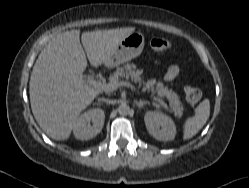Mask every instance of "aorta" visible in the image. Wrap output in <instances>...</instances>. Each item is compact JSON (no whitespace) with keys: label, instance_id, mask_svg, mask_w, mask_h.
Segmentation results:
<instances>
[{"label":"aorta","instance_id":"obj_1","mask_svg":"<svg viewBox=\"0 0 249 188\" xmlns=\"http://www.w3.org/2000/svg\"><path fill=\"white\" fill-rule=\"evenodd\" d=\"M129 111H130V107L125 103L121 104L118 107V113L122 116L128 115Z\"/></svg>","mask_w":249,"mask_h":188}]
</instances>
